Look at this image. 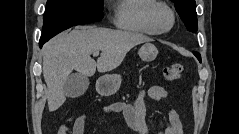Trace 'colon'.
<instances>
[{
    "mask_svg": "<svg viewBox=\"0 0 239 134\" xmlns=\"http://www.w3.org/2000/svg\"><path fill=\"white\" fill-rule=\"evenodd\" d=\"M183 66L180 63H171L164 68V77L167 81L173 82L181 78L183 74ZM65 129L61 130V134L65 133Z\"/></svg>",
    "mask_w": 239,
    "mask_h": 134,
    "instance_id": "obj_1",
    "label": "colon"
}]
</instances>
